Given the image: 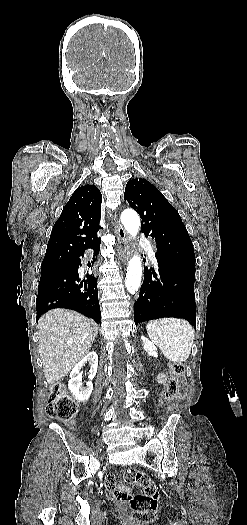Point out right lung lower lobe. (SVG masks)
Returning <instances> with one entry per match:
<instances>
[{"mask_svg":"<svg viewBox=\"0 0 247 525\" xmlns=\"http://www.w3.org/2000/svg\"><path fill=\"white\" fill-rule=\"evenodd\" d=\"M100 239H96L78 250L61 267L41 273L36 299L37 320L44 312L53 308L72 309L85 314L100 323L101 312L98 301L97 279L89 275L80 281L78 267L80 256L91 248L96 255L100 248Z\"/></svg>","mask_w":247,"mask_h":525,"instance_id":"obj_1","label":"right lung lower lobe"}]
</instances>
